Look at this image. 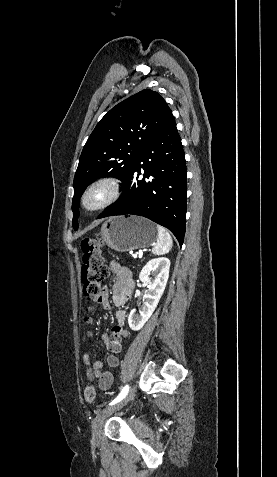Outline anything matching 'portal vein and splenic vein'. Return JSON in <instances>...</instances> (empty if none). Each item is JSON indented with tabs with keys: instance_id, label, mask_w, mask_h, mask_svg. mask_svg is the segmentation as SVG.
Wrapping results in <instances>:
<instances>
[{
	"instance_id": "portal-vein-and-splenic-vein-1",
	"label": "portal vein and splenic vein",
	"mask_w": 277,
	"mask_h": 477,
	"mask_svg": "<svg viewBox=\"0 0 277 477\" xmlns=\"http://www.w3.org/2000/svg\"><path fill=\"white\" fill-rule=\"evenodd\" d=\"M133 258H137V254H133Z\"/></svg>"
}]
</instances>
